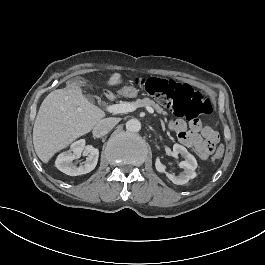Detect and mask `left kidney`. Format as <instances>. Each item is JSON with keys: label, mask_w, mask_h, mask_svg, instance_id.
I'll use <instances>...</instances> for the list:
<instances>
[{"label": "left kidney", "mask_w": 265, "mask_h": 265, "mask_svg": "<svg viewBox=\"0 0 265 265\" xmlns=\"http://www.w3.org/2000/svg\"><path fill=\"white\" fill-rule=\"evenodd\" d=\"M173 154L175 155L181 154V156L185 158L184 161H181L179 163V167L184 169L183 173H180L178 176H176L175 174L166 173L165 171L166 167L160 162L159 158H157L155 162L156 170L161 173H166L168 179L177 185L185 184L190 179L195 178L196 177L195 169L197 168V161L195 157L192 154H190L184 146L180 144H174Z\"/></svg>", "instance_id": "obj_1"}]
</instances>
